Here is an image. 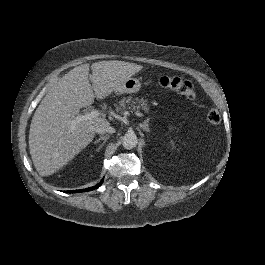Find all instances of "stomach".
Returning a JSON list of instances; mask_svg holds the SVG:
<instances>
[{
  "instance_id": "1",
  "label": "stomach",
  "mask_w": 265,
  "mask_h": 265,
  "mask_svg": "<svg viewBox=\"0 0 265 265\" xmlns=\"http://www.w3.org/2000/svg\"><path fill=\"white\" fill-rule=\"evenodd\" d=\"M139 87L140 82L137 79L127 77L124 80L120 81L112 92L117 95L124 93H133L136 92Z\"/></svg>"
}]
</instances>
